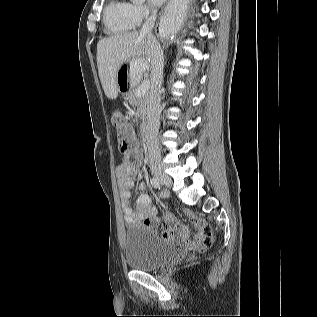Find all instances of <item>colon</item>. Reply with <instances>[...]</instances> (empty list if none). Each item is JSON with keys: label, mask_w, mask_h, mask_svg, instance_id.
<instances>
[{"label": "colon", "mask_w": 317, "mask_h": 317, "mask_svg": "<svg viewBox=\"0 0 317 317\" xmlns=\"http://www.w3.org/2000/svg\"><path fill=\"white\" fill-rule=\"evenodd\" d=\"M112 123L116 129L119 150L125 155V162L130 172H134V168L138 162L137 140L134 130L126 117L115 112L112 115ZM213 237L211 232H207L198 240H192L188 243L190 252H201L207 249L212 243Z\"/></svg>", "instance_id": "obj_1"}]
</instances>
